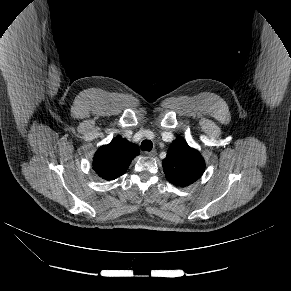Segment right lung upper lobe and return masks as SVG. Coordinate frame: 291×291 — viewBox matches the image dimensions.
Wrapping results in <instances>:
<instances>
[{
    "instance_id": "obj_1",
    "label": "right lung upper lobe",
    "mask_w": 291,
    "mask_h": 291,
    "mask_svg": "<svg viewBox=\"0 0 291 291\" xmlns=\"http://www.w3.org/2000/svg\"><path fill=\"white\" fill-rule=\"evenodd\" d=\"M139 155L138 147L121 136L101 146L95 153L93 169L105 180H114L124 174L131 161Z\"/></svg>"
}]
</instances>
